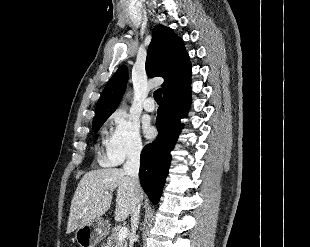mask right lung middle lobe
<instances>
[{"label": "right lung middle lobe", "instance_id": "1", "mask_svg": "<svg viewBox=\"0 0 310 247\" xmlns=\"http://www.w3.org/2000/svg\"><path fill=\"white\" fill-rule=\"evenodd\" d=\"M108 117H102L96 121L93 122L92 127H93V131L97 132L100 127L103 125V123L107 120Z\"/></svg>", "mask_w": 310, "mask_h": 247}]
</instances>
